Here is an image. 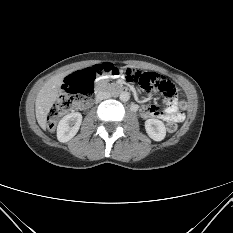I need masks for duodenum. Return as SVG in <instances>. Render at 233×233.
Instances as JSON below:
<instances>
[{
  "label": "duodenum",
  "instance_id": "obj_1",
  "mask_svg": "<svg viewBox=\"0 0 233 233\" xmlns=\"http://www.w3.org/2000/svg\"><path fill=\"white\" fill-rule=\"evenodd\" d=\"M123 93L125 92V88L121 84L110 83L102 81L96 86V94L97 93Z\"/></svg>",
  "mask_w": 233,
  "mask_h": 233
}]
</instances>
